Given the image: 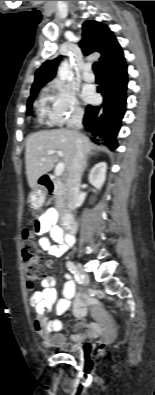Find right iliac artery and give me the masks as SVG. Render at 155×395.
I'll use <instances>...</instances> for the list:
<instances>
[{"label": "right iliac artery", "mask_w": 155, "mask_h": 395, "mask_svg": "<svg viewBox=\"0 0 155 395\" xmlns=\"http://www.w3.org/2000/svg\"><path fill=\"white\" fill-rule=\"evenodd\" d=\"M66 267H67V269H68L72 274H74L75 279H76L77 281H80V280L82 279V276H81L80 273L78 272L77 267L75 266V264H74L73 262L68 261V262L66 263Z\"/></svg>", "instance_id": "obj_1"}]
</instances>
